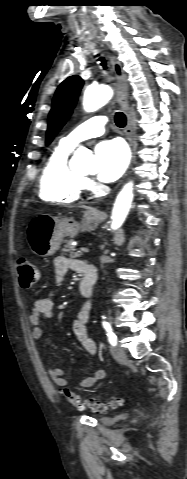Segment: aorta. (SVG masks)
<instances>
[{
	"label": "aorta",
	"mask_w": 187,
	"mask_h": 479,
	"mask_svg": "<svg viewBox=\"0 0 187 479\" xmlns=\"http://www.w3.org/2000/svg\"><path fill=\"white\" fill-rule=\"evenodd\" d=\"M113 95L111 87L107 85L89 86L85 90L83 108L86 112H93L104 106ZM74 160L79 168L88 173H97L100 170V162L97 158L87 153L84 147H80L74 155ZM133 200V182H128L117 195L112 210L111 228L117 230L124 223Z\"/></svg>",
	"instance_id": "1"
}]
</instances>
